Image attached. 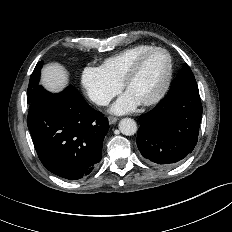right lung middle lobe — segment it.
Segmentation results:
<instances>
[{"label": "right lung middle lobe", "instance_id": "dd1d6c3e", "mask_svg": "<svg viewBox=\"0 0 232 232\" xmlns=\"http://www.w3.org/2000/svg\"><path fill=\"white\" fill-rule=\"evenodd\" d=\"M42 65H43L42 61L38 62L31 77H30L29 87L27 90V95H28L27 102H28V104L33 100V97L35 96V94L38 93L42 89V86L39 85Z\"/></svg>", "mask_w": 232, "mask_h": 232}]
</instances>
